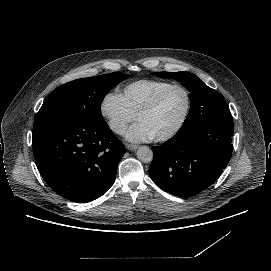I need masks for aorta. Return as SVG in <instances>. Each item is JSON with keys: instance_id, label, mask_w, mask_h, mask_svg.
I'll list each match as a JSON object with an SVG mask.
<instances>
[{"instance_id": "aorta-1", "label": "aorta", "mask_w": 271, "mask_h": 271, "mask_svg": "<svg viewBox=\"0 0 271 271\" xmlns=\"http://www.w3.org/2000/svg\"><path fill=\"white\" fill-rule=\"evenodd\" d=\"M137 158L143 163H149L153 159V152L147 146H141L137 150Z\"/></svg>"}]
</instances>
